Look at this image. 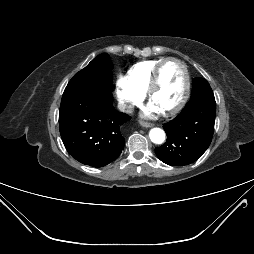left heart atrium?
Masks as SVG:
<instances>
[{
	"instance_id": "left-heart-atrium-1",
	"label": "left heart atrium",
	"mask_w": 254,
	"mask_h": 254,
	"mask_svg": "<svg viewBox=\"0 0 254 254\" xmlns=\"http://www.w3.org/2000/svg\"><path fill=\"white\" fill-rule=\"evenodd\" d=\"M159 112V110L154 106V105H152V104H150L147 108H146V110H145V114L147 115V116H153V115H155L156 113H158Z\"/></svg>"
}]
</instances>
